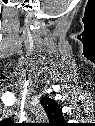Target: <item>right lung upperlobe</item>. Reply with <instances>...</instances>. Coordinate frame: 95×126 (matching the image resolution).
<instances>
[{
	"label": "right lung upper lobe",
	"mask_w": 95,
	"mask_h": 126,
	"mask_svg": "<svg viewBox=\"0 0 95 126\" xmlns=\"http://www.w3.org/2000/svg\"><path fill=\"white\" fill-rule=\"evenodd\" d=\"M40 102L48 116L49 125L63 126L66 124L64 123L65 119L63 118L62 110L55 100L44 96L41 98Z\"/></svg>",
	"instance_id": "obj_1"
}]
</instances>
